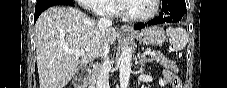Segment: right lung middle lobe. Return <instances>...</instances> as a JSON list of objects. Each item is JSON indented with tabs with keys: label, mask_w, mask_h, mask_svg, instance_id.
<instances>
[{
	"label": "right lung middle lobe",
	"mask_w": 227,
	"mask_h": 88,
	"mask_svg": "<svg viewBox=\"0 0 227 88\" xmlns=\"http://www.w3.org/2000/svg\"><path fill=\"white\" fill-rule=\"evenodd\" d=\"M47 1H57L58 4H67V5H73V1L72 0H37V4L36 5H40L44 2Z\"/></svg>",
	"instance_id": "dd1d6c3e"
}]
</instances>
